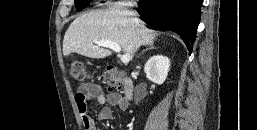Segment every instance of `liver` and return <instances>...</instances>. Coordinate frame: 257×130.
Returning <instances> with one entry per match:
<instances>
[{"instance_id":"1","label":"liver","mask_w":257,"mask_h":130,"mask_svg":"<svg viewBox=\"0 0 257 130\" xmlns=\"http://www.w3.org/2000/svg\"><path fill=\"white\" fill-rule=\"evenodd\" d=\"M157 33L129 11L111 8L94 10L77 17L67 29L63 40V55L78 53L89 58H105L111 51L95 41L109 40L120 45L132 58L142 45L153 44Z\"/></svg>"}]
</instances>
